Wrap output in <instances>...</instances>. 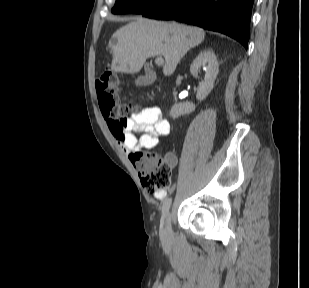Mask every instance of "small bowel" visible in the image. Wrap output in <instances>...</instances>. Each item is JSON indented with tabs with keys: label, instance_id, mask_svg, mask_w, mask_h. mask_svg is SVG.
<instances>
[{
	"label": "small bowel",
	"instance_id": "c3829d8e",
	"mask_svg": "<svg viewBox=\"0 0 309 288\" xmlns=\"http://www.w3.org/2000/svg\"><path fill=\"white\" fill-rule=\"evenodd\" d=\"M107 123L111 134L130 156L142 148L156 147L160 138L170 133L171 127L169 120L162 117L161 109L156 106L132 114L124 122L107 121ZM168 158L173 166L177 164V158L173 153L168 154ZM164 196V192L155 194L158 200H162Z\"/></svg>",
	"mask_w": 309,
	"mask_h": 288
}]
</instances>
